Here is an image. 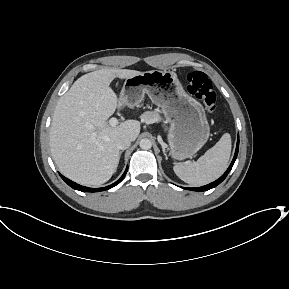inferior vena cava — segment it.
<instances>
[{
    "mask_svg": "<svg viewBox=\"0 0 289 289\" xmlns=\"http://www.w3.org/2000/svg\"><path fill=\"white\" fill-rule=\"evenodd\" d=\"M130 144L131 139L128 137H120L116 142L117 148L120 150H125L129 148Z\"/></svg>",
    "mask_w": 289,
    "mask_h": 289,
    "instance_id": "1",
    "label": "inferior vena cava"
}]
</instances>
